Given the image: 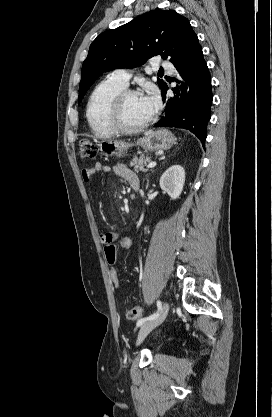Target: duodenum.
<instances>
[{
  "label": "duodenum",
  "mask_w": 272,
  "mask_h": 417,
  "mask_svg": "<svg viewBox=\"0 0 272 417\" xmlns=\"http://www.w3.org/2000/svg\"><path fill=\"white\" fill-rule=\"evenodd\" d=\"M131 187L134 191H137L139 188V182H132Z\"/></svg>",
  "instance_id": "1"
}]
</instances>
